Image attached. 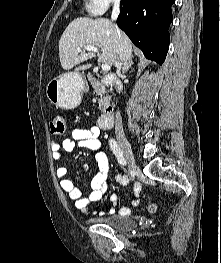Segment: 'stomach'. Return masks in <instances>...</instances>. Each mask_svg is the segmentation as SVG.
I'll list each match as a JSON object with an SVG mask.
<instances>
[{"label": "stomach", "mask_w": 221, "mask_h": 263, "mask_svg": "<svg viewBox=\"0 0 221 263\" xmlns=\"http://www.w3.org/2000/svg\"><path fill=\"white\" fill-rule=\"evenodd\" d=\"M85 90H87L85 78L78 72H68L48 82L46 95L52 104L70 110L80 104Z\"/></svg>", "instance_id": "1"}]
</instances>
